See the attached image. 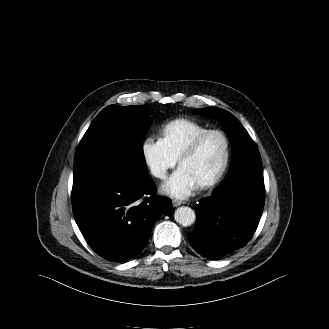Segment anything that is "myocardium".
I'll return each instance as SVG.
<instances>
[{"label": "myocardium", "instance_id": "myocardium-1", "mask_svg": "<svg viewBox=\"0 0 329 329\" xmlns=\"http://www.w3.org/2000/svg\"><path fill=\"white\" fill-rule=\"evenodd\" d=\"M213 134L219 135L224 141V158L218 171L212 177L199 184L201 188H207L215 185L222 179V177L226 173L231 159V142L228 135L220 129H207L206 131L197 135L182 151L178 158V165L180 166L185 159L193 156L196 153L200 144L206 137Z\"/></svg>", "mask_w": 329, "mask_h": 329}]
</instances>
